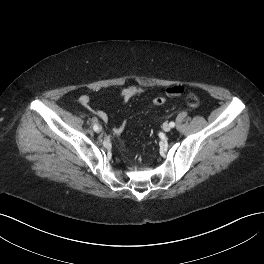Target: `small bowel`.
<instances>
[{
	"label": "small bowel",
	"instance_id": "obj_1",
	"mask_svg": "<svg viewBox=\"0 0 264 264\" xmlns=\"http://www.w3.org/2000/svg\"><path fill=\"white\" fill-rule=\"evenodd\" d=\"M184 92V87L182 85H173L166 89V95L168 97H176L181 95ZM144 93V89L137 86H126L120 91V97L123 102H127L131 98L135 96H139ZM90 96L89 95H81L78 99L80 105L84 107L86 110L92 112L98 119L103 122L108 121V115L105 111L100 109H93L90 107ZM124 125L121 127L115 128L116 132H120L123 129Z\"/></svg>",
	"mask_w": 264,
	"mask_h": 264
}]
</instances>
